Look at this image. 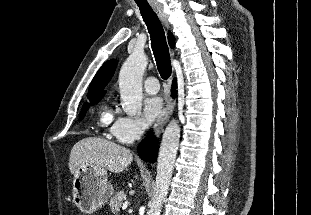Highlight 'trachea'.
<instances>
[{
  "label": "trachea",
  "instance_id": "trachea-1",
  "mask_svg": "<svg viewBox=\"0 0 311 215\" xmlns=\"http://www.w3.org/2000/svg\"><path fill=\"white\" fill-rule=\"evenodd\" d=\"M139 9L150 34L158 71L162 79L167 80L171 76L172 67L164 29L150 6H139Z\"/></svg>",
  "mask_w": 311,
  "mask_h": 215
}]
</instances>
